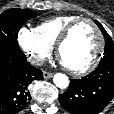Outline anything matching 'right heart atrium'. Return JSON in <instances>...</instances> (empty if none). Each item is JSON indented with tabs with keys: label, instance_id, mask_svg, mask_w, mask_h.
Returning a JSON list of instances; mask_svg holds the SVG:
<instances>
[{
	"label": "right heart atrium",
	"instance_id": "1",
	"mask_svg": "<svg viewBox=\"0 0 114 114\" xmlns=\"http://www.w3.org/2000/svg\"><path fill=\"white\" fill-rule=\"evenodd\" d=\"M18 44L34 65H40L52 53V46L47 44L34 29L23 27L18 32Z\"/></svg>",
	"mask_w": 114,
	"mask_h": 114
}]
</instances>
